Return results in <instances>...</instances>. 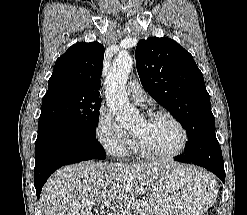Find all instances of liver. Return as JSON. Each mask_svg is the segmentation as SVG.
<instances>
[{
    "label": "liver",
    "mask_w": 247,
    "mask_h": 215,
    "mask_svg": "<svg viewBox=\"0 0 247 215\" xmlns=\"http://www.w3.org/2000/svg\"><path fill=\"white\" fill-rule=\"evenodd\" d=\"M175 162L141 164L82 162L56 171L42 189L44 215H93L92 207L104 198L127 206L149 192Z\"/></svg>",
    "instance_id": "1"
}]
</instances>
